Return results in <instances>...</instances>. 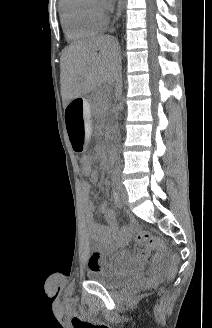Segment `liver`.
I'll return each instance as SVG.
<instances>
[{
    "label": "liver",
    "instance_id": "1",
    "mask_svg": "<svg viewBox=\"0 0 212 328\" xmlns=\"http://www.w3.org/2000/svg\"><path fill=\"white\" fill-rule=\"evenodd\" d=\"M60 66L63 101L77 99L114 82L118 43L109 35H100L70 45L61 56Z\"/></svg>",
    "mask_w": 212,
    "mask_h": 328
}]
</instances>
